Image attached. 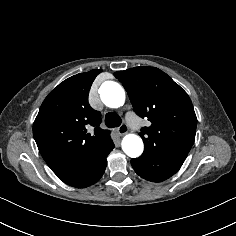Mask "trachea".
<instances>
[{
  "label": "trachea",
  "mask_w": 236,
  "mask_h": 236,
  "mask_svg": "<svg viewBox=\"0 0 236 236\" xmlns=\"http://www.w3.org/2000/svg\"><path fill=\"white\" fill-rule=\"evenodd\" d=\"M105 124L109 128L119 127L121 125V118L114 112H109L105 116Z\"/></svg>",
  "instance_id": "1"
}]
</instances>
